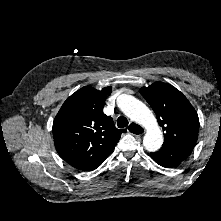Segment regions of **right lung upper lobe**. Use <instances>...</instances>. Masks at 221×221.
Returning a JSON list of instances; mask_svg holds the SVG:
<instances>
[{
	"instance_id": "1",
	"label": "right lung upper lobe",
	"mask_w": 221,
	"mask_h": 221,
	"mask_svg": "<svg viewBox=\"0 0 221 221\" xmlns=\"http://www.w3.org/2000/svg\"><path fill=\"white\" fill-rule=\"evenodd\" d=\"M110 91L111 87L99 91L85 86L68 97L54 119L56 150L77 169L103 162L125 132L103 113Z\"/></svg>"
}]
</instances>
